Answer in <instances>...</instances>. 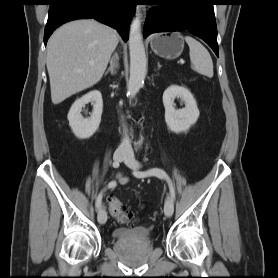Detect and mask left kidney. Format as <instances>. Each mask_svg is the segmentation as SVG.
I'll return each instance as SVG.
<instances>
[{
	"label": "left kidney",
	"instance_id": "1",
	"mask_svg": "<svg viewBox=\"0 0 278 278\" xmlns=\"http://www.w3.org/2000/svg\"><path fill=\"white\" fill-rule=\"evenodd\" d=\"M180 98L185 102V107L175 109L174 100ZM165 108V122L174 133L185 132L196 123L199 117L197 103L191 92L182 86L171 85L163 93Z\"/></svg>",
	"mask_w": 278,
	"mask_h": 278
}]
</instances>
